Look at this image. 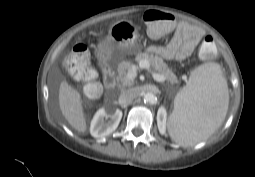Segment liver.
<instances>
[{
    "label": "liver",
    "mask_w": 255,
    "mask_h": 177,
    "mask_svg": "<svg viewBox=\"0 0 255 177\" xmlns=\"http://www.w3.org/2000/svg\"><path fill=\"white\" fill-rule=\"evenodd\" d=\"M58 99L61 113L68 123L77 131L85 132L87 127L80 94L66 81H62Z\"/></svg>",
    "instance_id": "1"
}]
</instances>
